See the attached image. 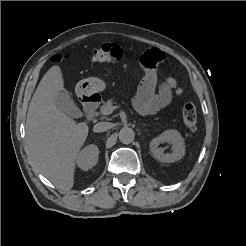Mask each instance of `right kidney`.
<instances>
[{
  "label": "right kidney",
  "mask_w": 246,
  "mask_h": 246,
  "mask_svg": "<svg viewBox=\"0 0 246 246\" xmlns=\"http://www.w3.org/2000/svg\"><path fill=\"white\" fill-rule=\"evenodd\" d=\"M98 155V146L94 144L88 145L78 154L76 163L80 169L87 171L96 165Z\"/></svg>",
  "instance_id": "right-kidney-1"
}]
</instances>
